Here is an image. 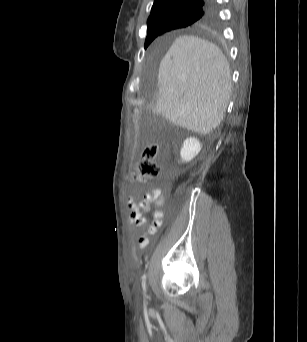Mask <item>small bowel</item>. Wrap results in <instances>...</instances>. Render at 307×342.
I'll return each mask as SVG.
<instances>
[{"instance_id": "1", "label": "small bowel", "mask_w": 307, "mask_h": 342, "mask_svg": "<svg viewBox=\"0 0 307 342\" xmlns=\"http://www.w3.org/2000/svg\"><path fill=\"white\" fill-rule=\"evenodd\" d=\"M154 204L153 221L151 224H147L143 213H147L151 209V204ZM164 205V198L162 191L158 188H154L147 192L141 201H135L133 197L128 200V206L130 209L129 223L132 227H144L145 230L139 238L140 248H144L148 244L149 235L156 233L157 228L162 223Z\"/></svg>"}]
</instances>
